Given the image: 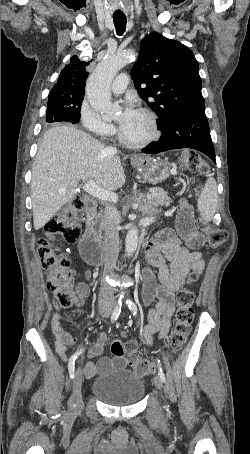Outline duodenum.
<instances>
[{
	"instance_id": "duodenum-1",
	"label": "duodenum",
	"mask_w": 250,
	"mask_h": 454,
	"mask_svg": "<svg viewBox=\"0 0 250 454\" xmlns=\"http://www.w3.org/2000/svg\"><path fill=\"white\" fill-rule=\"evenodd\" d=\"M84 214L86 217V225L80 242L81 256L82 259L90 265H101L103 262V247L101 245V240L96 235L93 227V217L95 215L94 205L89 204Z\"/></svg>"
}]
</instances>
